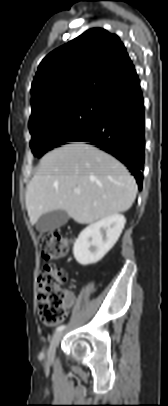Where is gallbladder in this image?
Returning <instances> with one entry per match:
<instances>
[{
  "mask_svg": "<svg viewBox=\"0 0 168 406\" xmlns=\"http://www.w3.org/2000/svg\"><path fill=\"white\" fill-rule=\"evenodd\" d=\"M69 220V215L64 210H55L40 216L36 222V230L43 232H52L56 228L65 225Z\"/></svg>",
  "mask_w": 168,
  "mask_h": 406,
  "instance_id": "1",
  "label": "gallbladder"
}]
</instances>
